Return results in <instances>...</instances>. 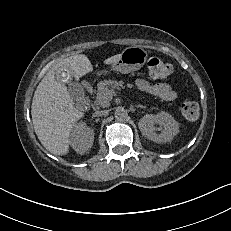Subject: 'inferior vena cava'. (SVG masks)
Listing matches in <instances>:
<instances>
[{
	"instance_id": "602c4592",
	"label": "inferior vena cava",
	"mask_w": 231,
	"mask_h": 231,
	"mask_svg": "<svg viewBox=\"0 0 231 231\" xmlns=\"http://www.w3.org/2000/svg\"><path fill=\"white\" fill-rule=\"evenodd\" d=\"M106 113H107L106 110H102V111H97V112H95L93 115H94L95 117H99V116L105 115Z\"/></svg>"
}]
</instances>
